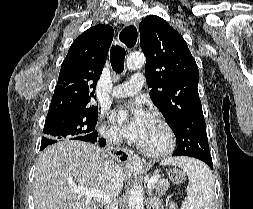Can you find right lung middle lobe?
Listing matches in <instances>:
<instances>
[{"label": "right lung middle lobe", "instance_id": "right-lung-middle-lobe-1", "mask_svg": "<svg viewBox=\"0 0 253 209\" xmlns=\"http://www.w3.org/2000/svg\"><path fill=\"white\" fill-rule=\"evenodd\" d=\"M98 107L66 109L47 116L41 150L61 139H77L94 132Z\"/></svg>", "mask_w": 253, "mask_h": 209}]
</instances>
